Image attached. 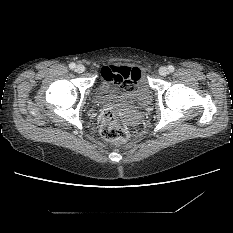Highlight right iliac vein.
Masks as SVG:
<instances>
[{"mask_svg": "<svg viewBox=\"0 0 233 233\" xmlns=\"http://www.w3.org/2000/svg\"><path fill=\"white\" fill-rule=\"evenodd\" d=\"M75 71L77 73H82V72L85 71V67L82 64H79V65L76 66Z\"/></svg>", "mask_w": 233, "mask_h": 233, "instance_id": "obj_1", "label": "right iliac vein"}]
</instances>
